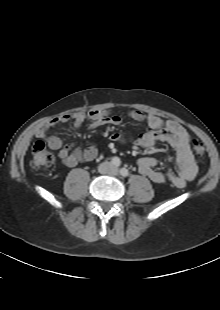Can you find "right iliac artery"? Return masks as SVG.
<instances>
[{
    "label": "right iliac artery",
    "mask_w": 220,
    "mask_h": 310,
    "mask_svg": "<svg viewBox=\"0 0 220 310\" xmlns=\"http://www.w3.org/2000/svg\"><path fill=\"white\" fill-rule=\"evenodd\" d=\"M111 163L115 166V167H118L120 166L121 164V161L118 157H113L112 160H111Z\"/></svg>",
    "instance_id": "82829eb1"
}]
</instances>
